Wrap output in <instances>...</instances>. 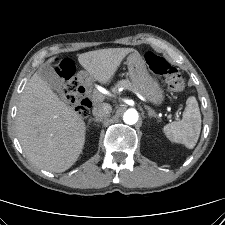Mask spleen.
Segmentation results:
<instances>
[{
  "instance_id": "spleen-1",
  "label": "spleen",
  "mask_w": 225,
  "mask_h": 225,
  "mask_svg": "<svg viewBox=\"0 0 225 225\" xmlns=\"http://www.w3.org/2000/svg\"><path fill=\"white\" fill-rule=\"evenodd\" d=\"M201 131V114L198 102L194 96L186 101L183 117L164 126L163 132L174 143L185 145L193 149L198 141Z\"/></svg>"
}]
</instances>
